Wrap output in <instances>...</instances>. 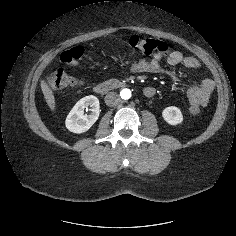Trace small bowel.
Instances as JSON below:
<instances>
[{"label": "small bowel", "instance_id": "obj_1", "mask_svg": "<svg viewBox=\"0 0 236 236\" xmlns=\"http://www.w3.org/2000/svg\"><path fill=\"white\" fill-rule=\"evenodd\" d=\"M163 56H155L151 60L138 59L130 64V71L134 73H151L164 74L173 80L177 77L175 73L166 71L161 65ZM165 60L168 66L182 65L187 69L198 70L201 66L200 62L192 56H184L180 51H172L165 55ZM214 90V82L209 79H203L199 85L192 86L187 90V97L191 106L198 108L208 104L210 96ZM156 90L152 86H148L144 90L147 97H153Z\"/></svg>", "mask_w": 236, "mask_h": 236}]
</instances>
